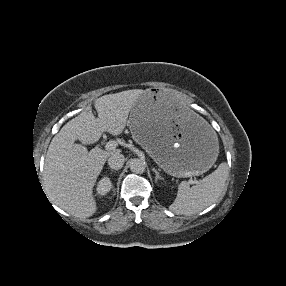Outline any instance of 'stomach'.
I'll return each mask as SVG.
<instances>
[{
  "label": "stomach",
  "mask_w": 286,
  "mask_h": 286,
  "mask_svg": "<svg viewBox=\"0 0 286 286\" xmlns=\"http://www.w3.org/2000/svg\"><path fill=\"white\" fill-rule=\"evenodd\" d=\"M128 124L133 138L172 176L201 175L217 159L214 130L174 92L144 91L131 109Z\"/></svg>",
  "instance_id": "0dacf381"
}]
</instances>
